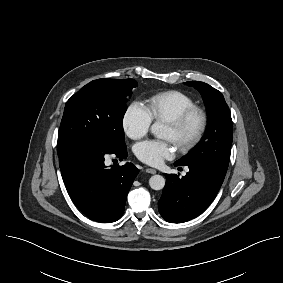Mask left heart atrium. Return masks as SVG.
Masks as SVG:
<instances>
[{"label": "left heart atrium", "instance_id": "left-heart-atrium-1", "mask_svg": "<svg viewBox=\"0 0 283 283\" xmlns=\"http://www.w3.org/2000/svg\"><path fill=\"white\" fill-rule=\"evenodd\" d=\"M134 152L142 162L151 166H158L165 159L173 156L174 148L168 140H146L138 143Z\"/></svg>", "mask_w": 283, "mask_h": 283}]
</instances>
